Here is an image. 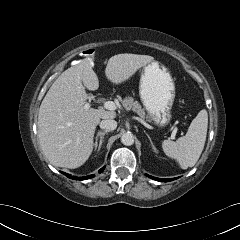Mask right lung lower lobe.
Masks as SVG:
<instances>
[{"mask_svg": "<svg viewBox=\"0 0 240 240\" xmlns=\"http://www.w3.org/2000/svg\"><path fill=\"white\" fill-rule=\"evenodd\" d=\"M104 170V168L100 169L99 172H102ZM64 175H66L68 178L73 179V180H86L89 178L94 177V175H89V176H85V177H75V176H71L70 174L64 173L62 172Z\"/></svg>", "mask_w": 240, "mask_h": 240, "instance_id": "obj_1", "label": "right lung lower lobe"}]
</instances>
